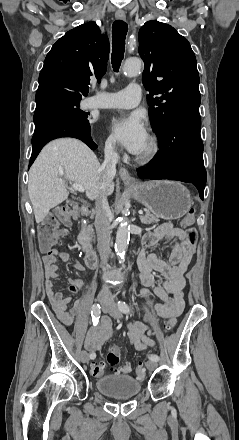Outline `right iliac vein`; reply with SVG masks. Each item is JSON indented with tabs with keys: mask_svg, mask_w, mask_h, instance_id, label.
Instances as JSON below:
<instances>
[{
	"mask_svg": "<svg viewBox=\"0 0 239 440\" xmlns=\"http://www.w3.org/2000/svg\"><path fill=\"white\" fill-rule=\"evenodd\" d=\"M99 301L101 302L103 312H107L110 304L108 302H105L102 297L99 298ZM80 360L82 363H87L89 361V355L86 351L83 350L80 353Z\"/></svg>",
	"mask_w": 239,
	"mask_h": 440,
	"instance_id": "63e3f726",
	"label": "right iliac vein"
}]
</instances>
